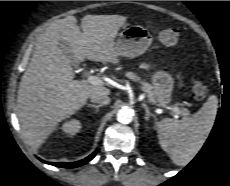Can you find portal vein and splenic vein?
<instances>
[{"instance_id": "obj_1", "label": "portal vein and splenic vein", "mask_w": 230, "mask_h": 186, "mask_svg": "<svg viewBox=\"0 0 230 186\" xmlns=\"http://www.w3.org/2000/svg\"><path fill=\"white\" fill-rule=\"evenodd\" d=\"M87 81L91 83L92 85H102L103 84V81L101 78H99L98 76H93V75L88 76ZM172 110L176 115H179L181 113L178 107L173 106Z\"/></svg>"}]
</instances>
